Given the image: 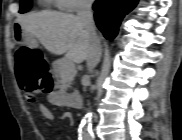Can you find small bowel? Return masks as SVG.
Masks as SVG:
<instances>
[{
  "instance_id": "obj_1",
  "label": "small bowel",
  "mask_w": 182,
  "mask_h": 140,
  "mask_svg": "<svg viewBox=\"0 0 182 140\" xmlns=\"http://www.w3.org/2000/svg\"><path fill=\"white\" fill-rule=\"evenodd\" d=\"M39 112L41 113V115L43 116V118H45L46 120H52L53 119L52 112L45 105H40L39 106Z\"/></svg>"
}]
</instances>
